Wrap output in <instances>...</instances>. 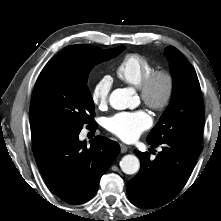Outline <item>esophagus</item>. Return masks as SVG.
I'll use <instances>...</instances> for the list:
<instances>
[{
    "mask_svg": "<svg viewBox=\"0 0 221 221\" xmlns=\"http://www.w3.org/2000/svg\"><path fill=\"white\" fill-rule=\"evenodd\" d=\"M120 149L122 153H126L128 151V146H126L125 144L121 143L120 144Z\"/></svg>",
    "mask_w": 221,
    "mask_h": 221,
    "instance_id": "34e87169",
    "label": "esophagus"
}]
</instances>
